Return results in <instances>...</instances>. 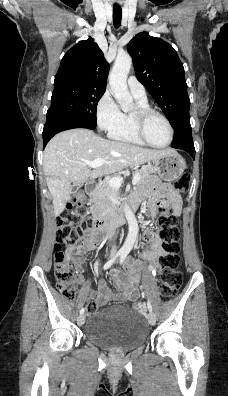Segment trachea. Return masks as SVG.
<instances>
[{"instance_id": "obj_1", "label": "trachea", "mask_w": 228, "mask_h": 396, "mask_svg": "<svg viewBox=\"0 0 228 396\" xmlns=\"http://www.w3.org/2000/svg\"><path fill=\"white\" fill-rule=\"evenodd\" d=\"M122 10L121 7H113V23L115 28H119L121 24Z\"/></svg>"}]
</instances>
